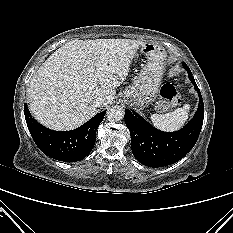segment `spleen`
I'll use <instances>...</instances> for the list:
<instances>
[{
	"mask_svg": "<svg viewBox=\"0 0 233 233\" xmlns=\"http://www.w3.org/2000/svg\"><path fill=\"white\" fill-rule=\"evenodd\" d=\"M190 105L185 104L182 108H178L167 114H153L151 121L155 127L162 131H176L180 129L188 119Z\"/></svg>",
	"mask_w": 233,
	"mask_h": 233,
	"instance_id": "spleen-1",
	"label": "spleen"
}]
</instances>
